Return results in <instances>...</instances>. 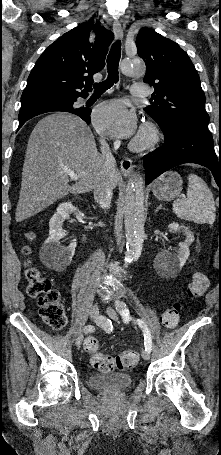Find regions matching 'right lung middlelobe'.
<instances>
[{"label": "right lung middle lobe", "instance_id": "1", "mask_svg": "<svg viewBox=\"0 0 221 455\" xmlns=\"http://www.w3.org/2000/svg\"><path fill=\"white\" fill-rule=\"evenodd\" d=\"M76 101V98H73V99H68V100H65V101H62V102H59L55 105H64V106H67V107H72L73 106V103ZM75 110H81L83 108H79V109H76L74 108Z\"/></svg>", "mask_w": 221, "mask_h": 455}]
</instances>
